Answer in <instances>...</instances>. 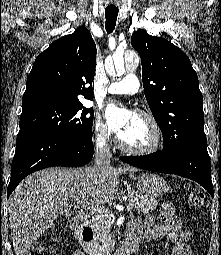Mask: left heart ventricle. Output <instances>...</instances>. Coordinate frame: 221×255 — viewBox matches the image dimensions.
<instances>
[{
	"label": "left heart ventricle",
	"instance_id": "b2bd125f",
	"mask_svg": "<svg viewBox=\"0 0 221 255\" xmlns=\"http://www.w3.org/2000/svg\"><path fill=\"white\" fill-rule=\"evenodd\" d=\"M118 137L128 146L144 147L152 142L153 132L143 118L133 114L129 125Z\"/></svg>",
	"mask_w": 221,
	"mask_h": 255
}]
</instances>
